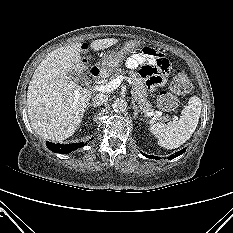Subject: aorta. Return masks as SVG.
<instances>
[{"label": "aorta", "mask_w": 233, "mask_h": 233, "mask_svg": "<svg viewBox=\"0 0 233 233\" xmlns=\"http://www.w3.org/2000/svg\"><path fill=\"white\" fill-rule=\"evenodd\" d=\"M112 108L115 112H124L127 108V102L123 98H117L112 103Z\"/></svg>", "instance_id": "obj_1"}]
</instances>
